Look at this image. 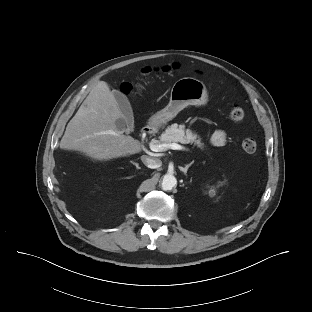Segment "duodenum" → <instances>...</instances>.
Instances as JSON below:
<instances>
[{"mask_svg": "<svg viewBox=\"0 0 312 312\" xmlns=\"http://www.w3.org/2000/svg\"><path fill=\"white\" fill-rule=\"evenodd\" d=\"M155 131V127L153 125H147L141 132L143 136H149L153 134Z\"/></svg>", "mask_w": 312, "mask_h": 312, "instance_id": "obj_1", "label": "duodenum"}]
</instances>
